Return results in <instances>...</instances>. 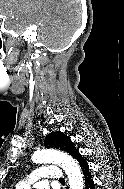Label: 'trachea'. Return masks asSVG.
<instances>
[{"label": "trachea", "instance_id": "trachea-1", "mask_svg": "<svg viewBox=\"0 0 124 189\" xmlns=\"http://www.w3.org/2000/svg\"><path fill=\"white\" fill-rule=\"evenodd\" d=\"M59 181H60V182H64V178H60Z\"/></svg>", "mask_w": 124, "mask_h": 189}]
</instances>
